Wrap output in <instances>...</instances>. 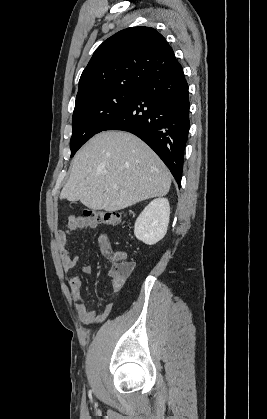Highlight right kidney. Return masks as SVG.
<instances>
[{
  "label": "right kidney",
  "mask_w": 267,
  "mask_h": 419,
  "mask_svg": "<svg viewBox=\"0 0 267 419\" xmlns=\"http://www.w3.org/2000/svg\"><path fill=\"white\" fill-rule=\"evenodd\" d=\"M170 205L166 198L152 200L135 222L134 234L148 245L159 242L165 236L169 224Z\"/></svg>",
  "instance_id": "right-kidney-1"
}]
</instances>
